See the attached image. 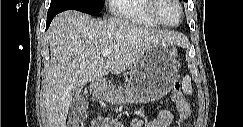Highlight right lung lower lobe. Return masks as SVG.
Instances as JSON below:
<instances>
[{
    "mask_svg": "<svg viewBox=\"0 0 243 127\" xmlns=\"http://www.w3.org/2000/svg\"><path fill=\"white\" fill-rule=\"evenodd\" d=\"M56 15L54 14H50V15H47V28L49 27L52 19L55 17Z\"/></svg>",
    "mask_w": 243,
    "mask_h": 127,
    "instance_id": "obj_1",
    "label": "right lung lower lobe"
}]
</instances>
